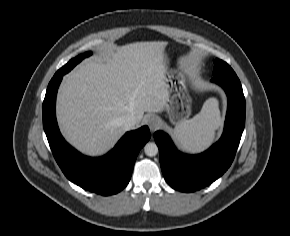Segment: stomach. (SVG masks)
Here are the masks:
<instances>
[{
  "mask_svg": "<svg viewBox=\"0 0 290 236\" xmlns=\"http://www.w3.org/2000/svg\"><path fill=\"white\" fill-rule=\"evenodd\" d=\"M164 81L168 93L165 110L171 123L179 124L191 114L192 99L185 78L173 70L165 72Z\"/></svg>",
  "mask_w": 290,
  "mask_h": 236,
  "instance_id": "1",
  "label": "stomach"
}]
</instances>
